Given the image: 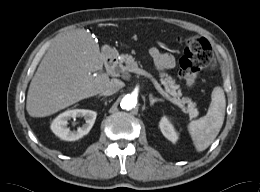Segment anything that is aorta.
Here are the masks:
<instances>
[{"instance_id":"762f6f07","label":"aorta","mask_w":260,"mask_h":192,"mask_svg":"<svg viewBox=\"0 0 260 192\" xmlns=\"http://www.w3.org/2000/svg\"><path fill=\"white\" fill-rule=\"evenodd\" d=\"M137 104V100L132 95H125L120 103V106L124 110H131L133 109Z\"/></svg>"}]
</instances>
